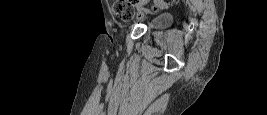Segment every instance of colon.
Returning <instances> with one entry per match:
<instances>
[{
  "mask_svg": "<svg viewBox=\"0 0 267 115\" xmlns=\"http://www.w3.org/2000/svg\"><path fill=\"white\" fill-rule=\"evenodd\" d=\"M113 10L118 18L124 22L143 17V13H137L134 6L126 0H116L113 5ZM153 12H157V8H153Z\"/></svg>",
  "mask_w": 267,
  "mask_h": 115,
  "instance_id": "5ec220e1",
  "label": "colon"
}]
</instances>
